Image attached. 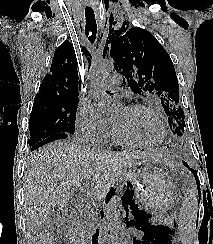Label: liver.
<instances>
[{"mask_svg":"<svg viewBox=\"0 0 213 244\" xmlns=\"http://www.w3.org/2000/svg\"><path fill=\"white\" fill-rule=\"evenodd\" d=\"M138 161L170 165L159 153L96 151L68 141L37 150L25 175L26 227L33 235L54 208L64 210L80 183L88 181L90 198L101 201Z\"/></svg>","mask_w":213,"mask_h":244,"instance_id":"obj_1","label":"liver"}]
</instances>
